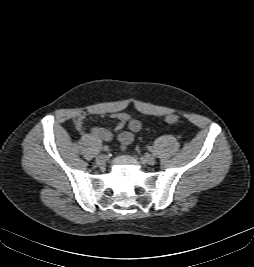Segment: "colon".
I'll use <instances>...</instances> for the list:
<instances>
[{
  "label": "colon",
  "instance_id": "colon-1",
  "mask_svg": "<svg viewBox=\"0 0 254 267\" xmlns=\"http://www.w3.org/2000/svg\"><path fill=\"white\" fill-rule=\"evenodd\" d=\"M178 120H179V117L175 114H170V115L166 116V118H165V121L169 124H175L178 122Z\"/></svg>",
  "mask_w": 254,
  "mask_h": 267
}]
</instances>
